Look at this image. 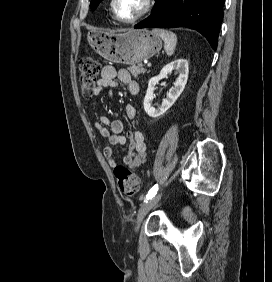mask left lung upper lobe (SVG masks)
I'll list each match as a JSON object with an SVG mask.
<instances>
[{
  "label": "left lung upper lobe",
  "mask_w": 272,
  "mask_h": 282,
  "mask_svg": "<svg viewBox=\"0 0 272 282\" xmlns=\"http://www.w3.org/2000/svg\"><path fill=\"white\" fill-rule=\"evenodd\" d=\"M102 0H91L90 3V8L91 10H95L98 6V4L101 2Z\"/></svg>",
  "instance_id": "left-lung-upper-lobe-1"
}]
</instances>
